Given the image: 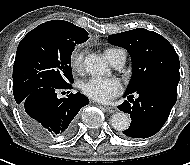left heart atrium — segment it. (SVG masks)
Returning <instances> with one entry per match:
<instances>
[{"instance_id": "39dd6f15", "label": "left heart atrium", "mask_w": 190, "mask_h": 165, "mask_svg": "<svg viewBox=\"0 0 190 165\" xmlns=\"http://www.w3.org/2000/svg\"><path fill=\"white\" fill-rule=\"evenodd\" d=\"M84 95L97 102H108L122 92V84L115 78L92 77L81 83Z\"/></svg>"}]
</instances>
